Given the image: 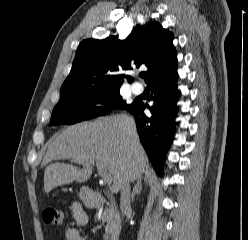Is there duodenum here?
<instances>
[{
  "instance_id": "410a0bca",
  "label": "duodenum",
  "mask_w": 248,
  "mask_h": 240,
  "mask_svg": "<svg viewBox=\"0 0 248 240\" xmlns=\"http://www.w3.org/2000/svg\"><path fill=\"white\" fill-rule=\"evenodd\" d=\"M94 199H95V205H101L104 203L103 197L99 194H95Z\"/></svg>"
}]
</instances>
